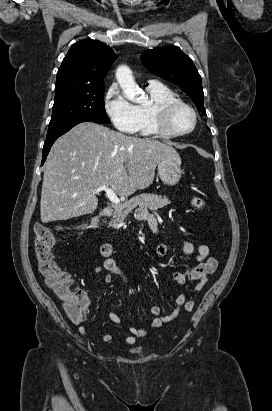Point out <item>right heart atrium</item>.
I'll list each match as a JSON object with an SVG mask.
<instances>
[{"instance_id":"d8ad5b80","label":"right heart atrium","mask_w":272,"mask_h":411,"mask_svg":"<svg viewBox=\"0 0 272 411\" xmlns=\"http://www.w3.org/2000/svg\"><path fill=\"white\" fill-rule=\"evenodd\" d=\"M104 109L121 132L134 133L138 127V112L134 104L125 98L117 85H111L104 96Z\"/></svg>"}]
</instances>
